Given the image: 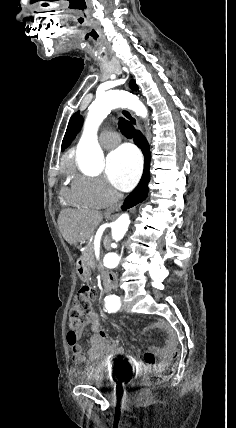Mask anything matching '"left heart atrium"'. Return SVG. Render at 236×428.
Returning <instances> with one entry per match:
<instances>
[{
	"label": "left heart atrium",
	"mask_w": 236,
	"mask_h": 428,
	"mask_svg": "<svg viewBox=\"0 0 236 428\" xmlns=\"http://www.w3.org/2000/svg\"><path fill=\"white\" fill-rule=\"evenodd\" d=\"M142 172V159L130 145L114 150L106 160V173L111 183L120 190L128 191L138 182Z\"/></svg>",
	"instance_id": "obj_1"
}]
</instances>
